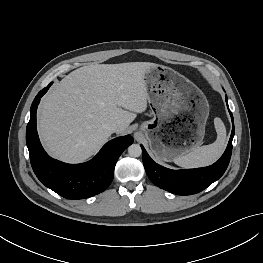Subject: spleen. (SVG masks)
<instances>
[{"label": "spleen", "mask_w": 263, "mask_h": 263, "mask_svg": "<svg viewBox=\"0 0 263 263\" xmlns=\"http://www.w3.org/2000/svg\"><path fill=\"white\" fill-rule=\"evenodd\" d=\"M214 126L217 132V139L214 143L198 147L186 155L175 158L173 162L183 168H198L213 164L222 155L227 141L223 121L216 117Z\"/></svg>", "instance_id": "1"}]
</instances>
